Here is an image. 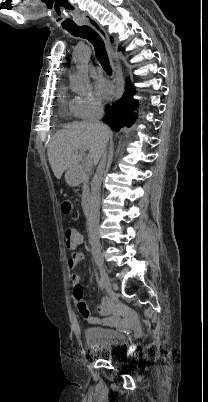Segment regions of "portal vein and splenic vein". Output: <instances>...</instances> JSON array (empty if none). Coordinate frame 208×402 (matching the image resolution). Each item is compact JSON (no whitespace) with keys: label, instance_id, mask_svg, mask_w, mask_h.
Listing matches in <instances>:
<instances>
[{"label":"portal vein and splenic vein","instance_id":"18ae733b","mask_svg":"<svg viewBox=\"0 0 208 402\" xmlns=\"http://www.w3.org/2000/svg\"><path fill=\"white\" fill-rule=\"evenodd\" d=\"M83 152H84V150H83ZM82 157H83V160L85 161V166H86L87 170H91V166H93V164H94L92 158H88L87 156H84V154H79V156H77V160H80V162H81Z\"/></svg>","mask_w":208,"mask_h":402}]
</instances>
